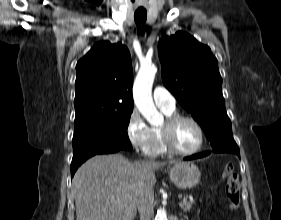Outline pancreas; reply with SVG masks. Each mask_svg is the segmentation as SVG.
Returning <instances> with one entry per match:
<instances>
[{
    "label": "pancreas",
    "instance_id": "obj_1",
    "mask_svg": "<svg viewBox=\"0 0 281 220\" xmlns=\"http://www.w3.org/2000/svg\"><path fill=\"white\" fill-rule=\"evenodd\" d=\"M194 204V201L189 200L187 197L183 199V201L180 203V207L183 211H190Z\"/></svg>",
    "mask_w": 281,
    "mask_h": 220
}]
</instances>
